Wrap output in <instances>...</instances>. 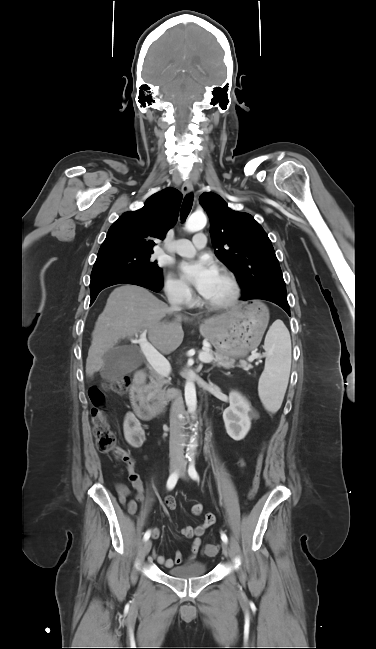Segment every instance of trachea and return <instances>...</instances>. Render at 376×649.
Returning a JSON list of instances; mask_svg holds the SVG:
<instances>
[{
    "label": "trachea",
    "mask_w": 376,
    "mask_h": 649,
    "mask_svg": "<svg viewBox=\"0 0 376 649\" xmlns=\"http://www.w3.org/2000/svg\"><path fill=\"white\" fill-rule=\"evenodd\" d=\"M192 204H193V194L190 193L186 195V197L183 200L182 206H181V212H180V217L181 221L184 222L186 218L188 217L191 209H192Z\"/></svg>",
    "instance_id": "1"
}]
</instances>
